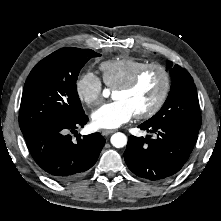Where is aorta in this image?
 I'll return each instance as SVG.
<instances>
[{
    "label": "aorta",
    "mask_w": 221,
    "mask_h": 221,
    "mask_svg": "<svg viewBox=\"0 0 221 221\" xmlns=\"http://www.w3.org/2000/svg\"><path fill=\"white\" fill-rule=\"evenodd\" d=\"M104 96H107V90L103 92ZM111 144L116 148H122L127 144V137L121 132H117L111 136Z\"/></svg>",
    "instance_id": "obj_1"
}]
</instances>
